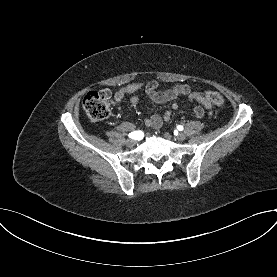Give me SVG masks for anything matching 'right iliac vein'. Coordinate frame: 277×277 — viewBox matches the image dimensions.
<instances>
[{
  "label": "right iliac vein",
  "instance_id": "right-iliac-vein-1",
  "mask_svg": "<svg viewBox=\"0 0 277 277\" xmlns=\"http://www.w3.org/2000/svg\"><path fill=\"white\" fill-rule=\"evenodd\" d=\"M137 141L135 139H128L126 141V145L130 148L134 147L136 145Z\"/></svg>",
  "mask_w": 277,
  "mask_h": 277
}]
</instances>
